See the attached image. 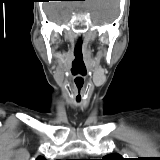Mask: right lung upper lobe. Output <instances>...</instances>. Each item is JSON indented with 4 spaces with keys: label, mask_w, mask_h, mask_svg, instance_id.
I'll use <instances>...</instances> for the list:
<instances>
[{
    "label": "right lung upper lobe",
    "mask_w": 160,
    "mask_h": 160,
    "mask_svg": "<svg viewBox=\"0 0 160 160\" xmlns=\"http://www.w3.org/2000/svg\"><path fill=\"white\" fill-rule=\"evenodd\" d=\"M36 160H46V159L42 156H39Z\"/></svg>",
    "instance_id": "right-lung-upper-lobe-1"
}]
</instances>
